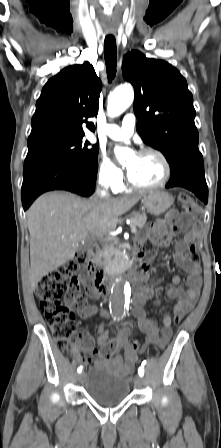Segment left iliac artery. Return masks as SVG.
Here are the masks:
<instances>
[{"label":"left iliac artery","instance_id":"obj_1","mask_svg":"<svg viewBox=\"0 0 221 448\" xmlns=\"http://www.w3.org/2000/svg\"><path fill=\"white\" fill-rule=\"evenodd\" d=\"M144 365H145V363H142V367H144ZM142 367H140V368L138 369V374H139V376H141V377L144 375V369H143Z\"/></svg>","mask_w":221,"mask_h":448}]
</instances>
